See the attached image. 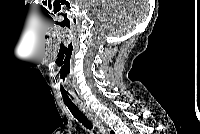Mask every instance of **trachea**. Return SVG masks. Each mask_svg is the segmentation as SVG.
I'll return each mask as SVG.
<instances>
[{"label":"trachea","instance_id":"obj_1","mask_svg":"<svg viewBox=\"0 0 200 134\" xmlns=\"http://www.w3.org/2000/svg\"><path fill=\"white\" fill-rule=\"evenodd\" d=\"M66 106L69 108L73 116L82 123L84 127L87 129L91 130L92 129V124L90 121L86 118V116L70 101H65L64 102Z\"/></svg>","mask_w":200,"mask_h":134}]
</instances>
